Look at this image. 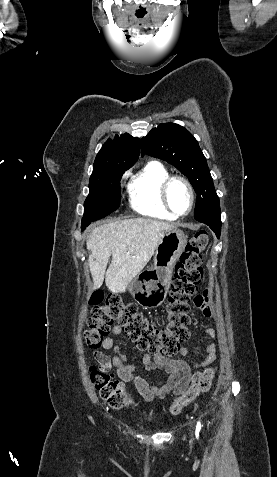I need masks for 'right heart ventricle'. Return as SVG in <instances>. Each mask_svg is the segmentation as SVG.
Masks as SVG:
<instances>
[{
    "mask_svg": "<svg viewBox=\"0 0 277 477\" xmlns=\"http://www.w3.org/2000/svg\"><path fill=\"white\" fill-rule=\"evenodd\" d=\"M169 176L168 170L159 162H149L134 174L128 186L132 209L143 216L162 220H175L162 204L160 187Z\"/></svg>",
    "mask_w": 277,
    "mask_h": 477,
    "instance_id": "1",
    "label": "right heart ventricle"
}]
</instances>
